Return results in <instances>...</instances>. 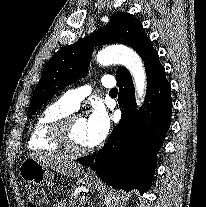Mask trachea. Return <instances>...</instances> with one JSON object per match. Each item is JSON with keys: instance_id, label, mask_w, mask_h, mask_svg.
<instances>
[{"instance_id": "obj_1", "label": "trachea", "mask_w": 206, "mask_h": 207, "mask_svg": "<svg viewBox=\"0 0 206 207\" xmlns=\"http://www.w3.org/2000/svg\"><path fill=\"white\" fill-rule=\"evenodd\" d=\"M117 92H118V90L116 88L110 90V93H112V94H116Z\"/></svg>"}]
</instances>
